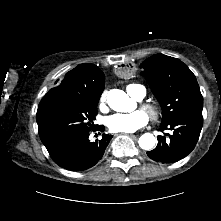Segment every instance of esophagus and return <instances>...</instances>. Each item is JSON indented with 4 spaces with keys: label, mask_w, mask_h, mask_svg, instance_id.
<instances>
[{
    "label": "esophagus",
    "mask_w": 221,
    "mask_h": 221,
    "mask_svg": "<svg viewBox=\"0 0 221 221\" xmlns=\"http://www.w3.org/2000/svg\"><path fill=\"white\" fill-rule=\"evenodd\" d=\"M122 134V133H121ZM121 134H119V133H116V134H114V136H118V135H121ZM129 136H131V137H135V135H133V134H128Z\"/></svg>",
    "instance_id": "1"
}]
</instances>
